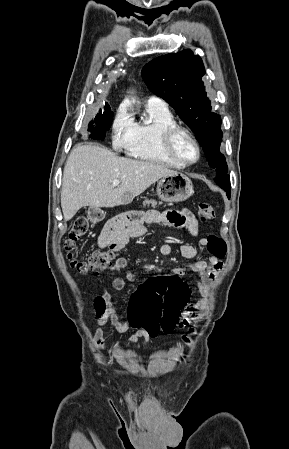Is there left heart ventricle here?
<instances>
[{"instance_id": "obj_1", "label": "left heart ventricle", "mask_w": 289, "mask_h": 449, "mask_svg": "<svg viewBox=\"0 0 289 449\" xmlns=\"http://www.w3.org/2000/svg\"><path fill=\"white\" fill-rule=\"evenodd\" d=\"M176 151L185 161H193L197 156L194 144L185 136H180L176 141Z\"/></svg>"}]
</instances>
